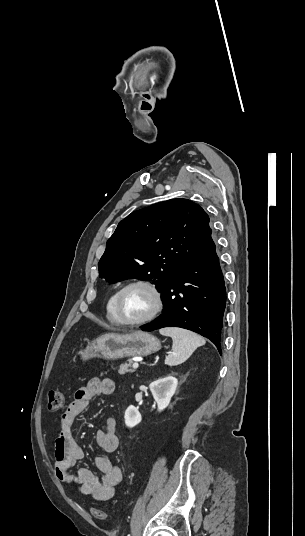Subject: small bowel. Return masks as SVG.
<instances>
[{"instance_id":"small-bowel-1","label":"small bowel","mask_w":305,"mask_h":536,"mask_svg":"<svg viewBox=\"0 0 305 536\" xmlns=\"http://www.w3.org/2000/svg\"><path fill=\"white\" fill-rule=\"evenodd\" d=\"M114 390L115 384L111 379L97 377L80 387L75 392L74 400L61 415L59 433L52 449L56 477L63 484L76 488L82 495L96 501H108L113 498L116 487L122 481V471L110 457L103 455L95 459V465L102 474L101 478L88 469L73 472L76 462L84 455L82 447L73 435V425L77 416L87 409L92 399L112 394ZM116 431V419L106 418L103 429L95 434L97 446L106 453H113L118 447Z\"/></svg>"}]
</instances>
